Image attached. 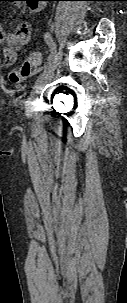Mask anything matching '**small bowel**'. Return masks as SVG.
Here are the masks:
<instances>
[{
    "label": "small bowel",
    "mask_w": 127,
    "mask_h": 303,
    "mask_svg": "<svg viewBox=\"0 0 127 303\" xmlns=\"http://www.w3.org/2000/svg\"><path fill=\"white\" fill-rule=\"evenodd\" d=\"M44 1V0H42ZM31 2V1H28ZM45 4L38 3L36 5L28 4L30 11H37L42 9ZM31 37V26L27 22L19 24L16 31L6 33L0 26V44L2 45V52L4 58V65L6 67L12 66L17 60L16 50L27 45Z\"/></svg>",
    "instance_id": "small-bowel-1"
}]
</instances>
